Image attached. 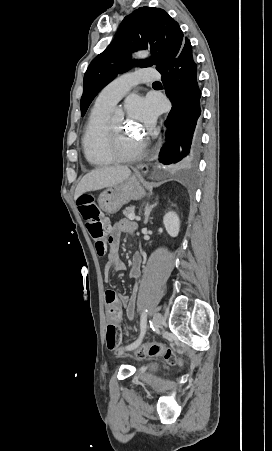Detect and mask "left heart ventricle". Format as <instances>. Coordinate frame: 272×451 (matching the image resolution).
I'll return each instance as SVG.
<instances>
[{"label":"left heart ventricle","mask_w":272,"mask_h":451,"mask_svg":"<svg viewBox=\"0 0 272 451\" xmlns=\"http://www.w3.org/2000/svg\"><path fill=\"white\" fill-rule=\"evenodd\" d=\"M115 143L120 147H126L129 143L133 141L126 132H124V121L123 119H114L110 121Z\"/></svg>","instance_id":"b2bd125f"}]
</instances>
